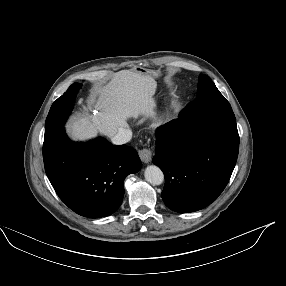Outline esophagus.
Listing matches in <instances>:
<instances>
[{
    "label": "esophagus",
    "mask_w": 286,
    "mask_h": 286,
    "mask_svg": "<svg viewBox=\"0 0 286 286\" xmlns=\"http://www.w3.org/2000/svg\"><path fill=\"white\" fill-rule=\"evenodd\" d=\"M139 157L144 163H149L152 160V151L148 148H143L139 151Z\"/></svg>",
    "instance_id": "34e87169"
}]
</instances>
